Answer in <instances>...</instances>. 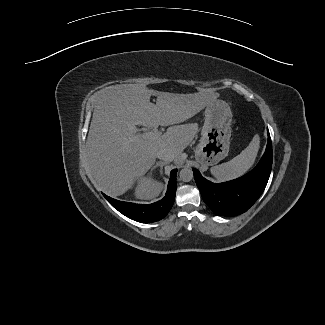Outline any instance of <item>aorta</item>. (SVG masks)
I'll return each instance as SVG.
<instances>
[{"label": "aorta", "instance_id": "obj_1", "mask_svg": "<svg viewBox=\"0 0 325 325\" xmlns=\"http://www.w3.org/2000/svg\"><path fill=\"white\" fill-rule=\"evenodd\" d=\"M179 177L183 182H189L193 179V171L189 168H184L180 171Z\"/></svg>", "mask_w": 325, "mask_h": 325}]
</instances>
